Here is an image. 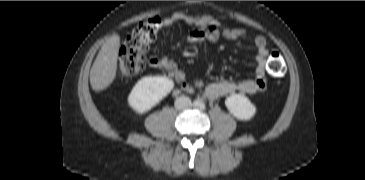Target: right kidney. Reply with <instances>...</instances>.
Listing matches in <instances>:
<instances>
[{"label": "right kidney", "mask_w": 365, "mask_h": 180, "mask_svg": "<svg viewBox=\"0 0 365 180\" xmlns=\"http://www.w3.org/2000/svg\"><path fill=\"white\" fill-rule=\"evenodd\" d=\"M174 88L166 76H146L140 79L128 96V105L138 114L151 110Z\"/></svg>", "instance_id": "1"}]
</instances>
